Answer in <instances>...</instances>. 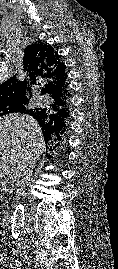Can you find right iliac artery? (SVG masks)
I'll return each mask as SVG.
<instances>
[{
	"label": "right iliac artery",
	"instance_id": "82829eb1",
	"mask_svg": "<svg viewBox=\"0 0 118 269\" xmlns=\"http://www.w3.org/2000/svg\"><path fill=\"white\" fill-rule=\"evenodd\" d=\"M12 268L20 269V268H21V262L18 261V260H15V262H14V267H12Z\"/></svg>",
	"mask_w": 118,
	"mask_h": 269
}]
</instances>
